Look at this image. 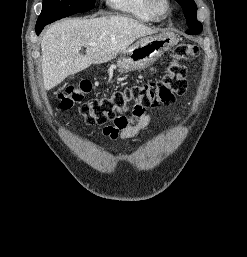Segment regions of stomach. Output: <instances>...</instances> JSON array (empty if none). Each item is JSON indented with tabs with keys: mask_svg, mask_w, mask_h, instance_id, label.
I'll return each instance as SVG.
<instances>
[{
	"mask_svg": "<svg viewBox=\"0 0 247 257\" xmlns=\"http://www.w3.org/2000/svg\"><path fill=\"white\" fill-rule=\"evenodd\" d=\"M175 44L177 39L170 33L144 37L120 54L117 66L124 73L145 68Z\"/></svg>",
	"mask_w": 247,
	"mask_h": 257,
	"instance_id": "obj_1",
	"label": "stomach"
}]
</instances>
